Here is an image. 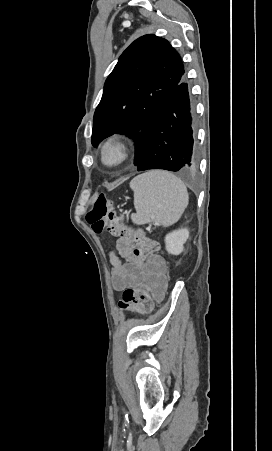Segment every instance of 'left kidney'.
<instances>
[{
  "label": "left kidney",
  "instance_id": "left-kidney-1",
  "mask_svg": "<svg viewBox=\"0 0 272 451\" xmlns=\"http://www.w3.org/2000/svg\"><path fill=\"white\" fill-rule=\"evenodd\" d=\"M189 237V231L187 227H181V229H174L171 233H167L165 237L166 249L168 253H174L178 255L183 251V243Z\"/></svg>",
  "mask_w": 272,
  "mask_h": 451
}]
</instances>
